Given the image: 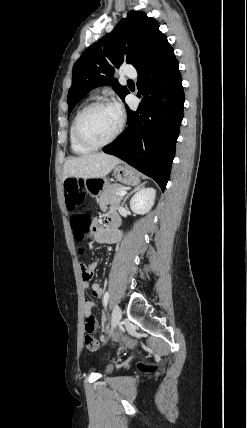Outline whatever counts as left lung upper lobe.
Returning a JSON list of instances; mask_svg holds the SVG:
<instances>
[{"instance_id": "obj_1", "label": "left lung upper lobe", "mask_w": 247, "mask_h": 428, "mask_svg": "<svg viewBox=\"0 0 247 428\" xmlns=\"http://www.w3.org/2000/svg\"><path fill=\"white\" fill-rule=\"evenodd\" d=\"M171 48L159 24L144 12L131 11L110 34L91 45L74 64L72 86L68 93V110L94 87L112 85L124 101L129 93L114 78V68L123 63L137 70L160 53Z\"/></svg>"}]
</instances>
